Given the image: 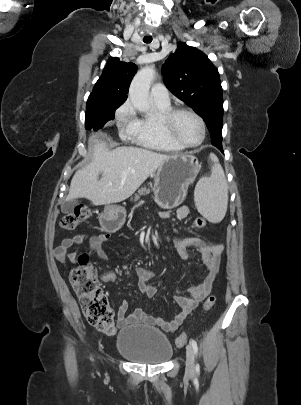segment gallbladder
Instances as JSON below:
<instances>
[{
    "instance_id": "1",
    "label": "gallbladder",
    "mask_w": 301,
    "mask_h": 405,
    "mask_svg": "<svg viewBox=\"0 0 301 405\" xmlns=\"http://www.w3.org/2000/svg\"><path fill=\"white\" fill-rule=\"evenodd\" d=\"M78 204H79V201L77 199L65 201L61 204V212L65 213V214L71 213L74 211L76 206H78Z\"/></svg>"
}]
</instances>
